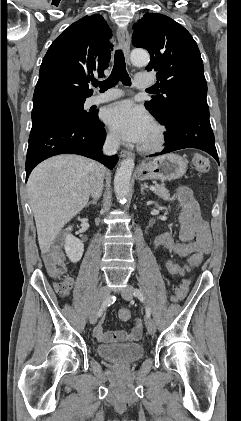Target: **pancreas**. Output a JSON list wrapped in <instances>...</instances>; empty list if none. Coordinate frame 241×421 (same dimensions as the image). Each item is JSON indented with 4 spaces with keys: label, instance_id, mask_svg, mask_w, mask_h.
<instances>
[{
    "label": "pancreas",
    "instance_id": "obj_1",
    "mask_svg": "<svg viewBox=\"0 0 241 421\" xmlns=\"http://www.w3.org/2000/svg\"><path fill=\"white\" fill-rule=\"evenodd\" d=\"M154 193H155L158 197L163 198L164 200H170V199H171V198H170V193H169V191H168V190H167V188H166L165 186H163V185L156 184V185H155V190H154Z\"/></svg>",
    "mask_w": 241,
    "mask_h": 421
}]
</instances>
